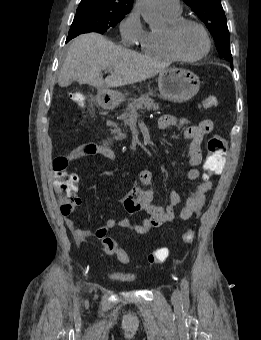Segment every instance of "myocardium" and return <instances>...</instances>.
I'll return each instance as SVG.
<instances>
[{
    "mask_svg": "<svg viewBox=\"0 0 261 340\" xmlns=\"http://www.w3.org/2000/svg\"><path fill=\"white\" fill-rule=\"evenodd\" d=\"M188 24H192L195 25L196 27H198L204 38H205V42H206V46L204 51L194 57H187L184 56L183 54L180 53V51L177 48V44H176V39H177V34L178 32L185 26ZM165 41H166V45L168 50L171 52V54L178 60L183 61V62H196L199 61L201 59H203L204 57H206L210 50H211V38L210 35L206 29V27L199 22L198 20L192 19V18H179L177 20H175L174 22L170 23L167 28L165 29Z\"/></svg>",
    "mask_w": 261,
    "mask_h": 340,
    "instance_id": "f54148a6",
    "label": "myocardium"
}]
</instances>
